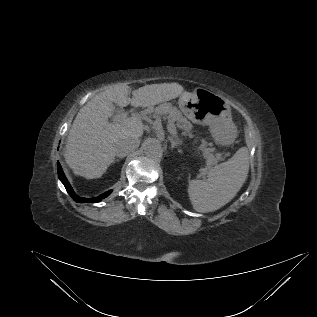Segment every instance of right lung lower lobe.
<instances>
[{"instance_id":"1","label":"right lung lower lobe","mask_w":317,"mask_h":317,"mask_svg":"<svg viewBox=\"0 0 317 317\" xmlns=\"http://www.w3.org/2000/svg\"><path fill=\"white\" fill-rule=\"evenodd\" d=\"M57 171H58V176H59V179L61 180V182L64 184L67 192L69 193V195L76 201V202H79V203H82V202H88V203H95V202H99L101 201L103 198L107 197L112 191H107L103 194H101L100 196H98L97 198H92V199H85V198H82V197H79L77 196L75 193H74V190L72 189L71 185L69 184L67 178L65 177L64 175V172L62 170V167L60 165L59 162H57Z\"/></svg>"}]
</instances>
